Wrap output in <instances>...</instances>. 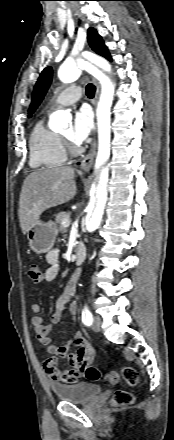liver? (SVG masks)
<instances>
[{"instance_id": "liver-1", "label": "liver", "mask_w": 174, "mask_h": 440, "mask_svg": "<svg viewBox=\"0 0 174 440\" xmlns=\"http://www.w3.org/2000/svg\"><path fill=\"white\" fill-rule=\"evenodd\" d=\"M74 177L71 167L41 168L26 177L18 210L23 234L45 210L66 203L77 194Z\"/></svg>"}]
</instances>
